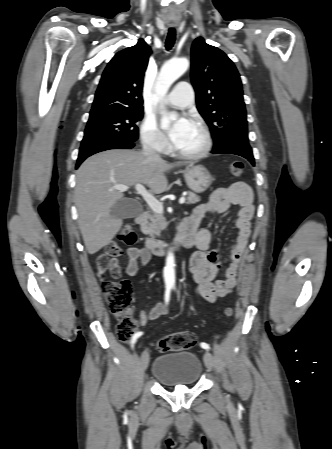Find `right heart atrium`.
<instances>
[{"label":"right heart atrium","mask_w":332,"mask_h":449,"mask_svg":"<svg viewBox=\"0 0 332 449\" xmlns=\"http://www.w3.org/2000/svg\"><path fill=\"white\" fill-rule=\"evenodd\" d=\"M140 133L142 141L147 147L159 153L168 151L169 142L163 132L159 129L154 118H144L141 124Z\"/></svg>","instance_id":"obj_1"}]
</instances>
